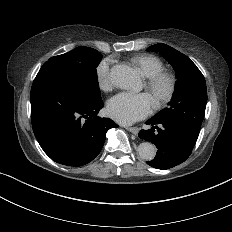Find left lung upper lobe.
Wrapping results in <instances>:
<instances>
[{
  "label": "left lung upper lobe",
  "instance_id": "1",
  "mask_svg": "<svg viewBox=\"0 0 232 232\" xmlns=\"http://www.w3.org/2000/svg\"><path fill=\"white\" fill-rule=\"evenodd\" d=\"M147 50L160 53L173 66L177 77L176 89L169 106L153 119L173 121L199 134L207 103L203 74L186 55L166 44H155Z\"/></svg>",
  "mask_w": 232,
  "mask_h": 232
}]
</instances>
